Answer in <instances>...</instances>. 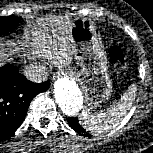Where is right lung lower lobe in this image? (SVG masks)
<instances>
[{"mask_svg":"<svg viewBox=\"0 0 153 153\" xmlns=\"http://www.w3.org/2000/svg\"><path fill=\"white\" fill-rule=\"evenodd\" d=\"M50 82L33 83L12 64L0 68V138L11 135L25 119L31 100Z\"/></svg>","mask_w":153,"mask_h":153,"instance_id":"1","label":"right lung lower lobe"}]
</instances>
